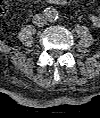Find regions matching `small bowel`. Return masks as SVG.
Instances as JSON below:
<instances>
[{"mask_svg":"<svg viewBox=\"0 0 100 118\" xmlns=\"http://www.w3.org/2000/svg\"><path fill=\"white\" fill-rule=\"evenodd\" d=\"M90 20L92 21L93 24L99 25L100 24V16L92 14L90 16Z\"/></svg>","mask_w":100,"mask_h":118,"instance_id":"1","label":"small bowel"}]
</instances>
